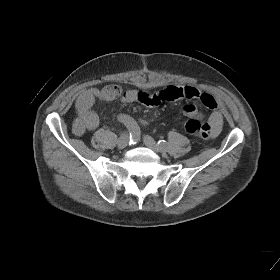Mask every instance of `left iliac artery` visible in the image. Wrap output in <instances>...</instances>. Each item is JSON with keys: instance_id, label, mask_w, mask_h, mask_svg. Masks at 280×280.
<instances>
[{"instance_id": "44dca946", "label": "left iliac artery", "mask_w": 280, "mask_h": 280, "mask_svg": "<svg viewBox=\"0 0 280 280\" xmlns=\"http://www.w3.org/2000/svg\"><path fill=\"white\" fill-rule=\"evenodd\" d=\"M158 146L161 148V149H165L167 147V142L165 140H159L158 141Z\"/></svg>"}]
</instances>
